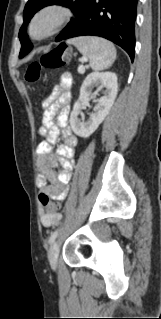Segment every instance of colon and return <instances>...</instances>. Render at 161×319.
<instances>
[{
    "mask_svg": "<svg viewBox=\"0 0 161 319\" xmlns=\"http://www.w3.org/2000/svg\"><path fill=\"white\" fill-rule=\"evenodd\" d=\"M70 48L66 45H60L46 54L39 61L29 64L26 70V80L30 83L36 82L41 78L42 67L57 70L62 68L70 58ZM41 204L49 207L52 212L59 211V204L51 203L46 193L40 195Z\"/></svg>",
    "mask_w": 161,
    "mask_h": 319,
    "instance_id": "5ec220e1",
    "label": "colon"
}]
</instances>
